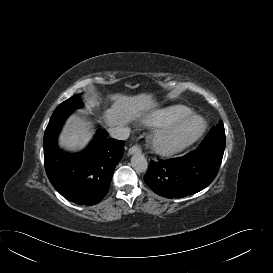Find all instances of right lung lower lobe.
<instances>
[{
	"instance_id": "right-lung-lower-lobe-1",
	"label": "right lung lower lobe",
	"mask_w": 273,
	"mask_h": 273,
	"mask_svg": "<svg viewBox=\"0 0 273 273\" xmlns=\"http://www.w3.org/2000/svg\"><path fill=\"white\" fill-rule=\"evenodd\" d=\"M73 111L55 110L44 133V165L53 187L67 200L94 205L106 195L116 165L124 153V141L108 138L99 130L87 149L76 155L58 148L65 119Z\"/></svg>"
}]
</instances>
